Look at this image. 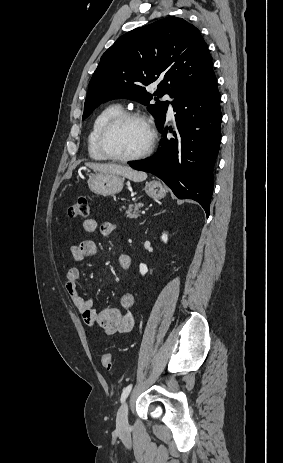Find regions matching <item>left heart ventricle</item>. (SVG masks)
<instances>
[{
  "label": "left heart ventricle",
  "mask_w": 283,
  "mask_h": 463,
  "mask_svg": "<svg viewBox=\"0 0 283 463\" xmlns=\"http://www.w3.org/2000/svg\"><path fill=\"white\" fill-rule=\"evenodd\" d=\"M149 141V133L145 125L135 119L118 125L110 134L108 146L120 156H133L143 151Z\"/></svg>",
  "instance_id": "left-heart-ventricle-1"
}]
</instances>
